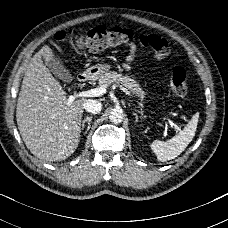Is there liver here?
<instances>
[{
  "mask_svg": "<svg viewBox=\"0 0 228 228\" xmlns=\"http://www.w3.org/2000/svg\"><path fill=\"white\" fill-rule=\"evenodd\" d=\"M49 46L37 52L25 72L19 93L16 120L30 152L41 160L61 161L76 150L85 99L70 100L60 83L43 64L52 56Z\"/></svg>",
  "mask_w": 228,
  "mask_h": 228,
  "instance_id": "liver-1",
  "label": "liver"
}]
</instances>
